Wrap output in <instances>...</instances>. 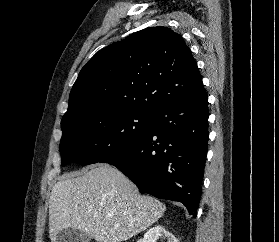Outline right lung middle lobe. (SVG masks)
<instances>
[{"label": "right lung middle lobe", "instance_id": "1", "mask_svg": "<svg viewBox=\"0 0 279 242\" xmlns=\"http://www.w3.org/2000/svg\"><path fill=\"white\" fill-rule=\"evenodd\" d=\"M153 112L122 110L93 119L73 118L61 124L62 166L89 165L116 154L145 137Z\"/></svg>", "mask_w": 279, "mask_h": 242}]
</instances>
